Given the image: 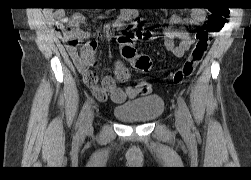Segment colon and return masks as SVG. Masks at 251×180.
<instances>
[{"label":"colon","instance_id":"colon-1","mask_svg":"<svg viewBox=\"0 0 251 180\" xmlns=\"http://www.w3.org/2000/svg\"><path fill=\"white\" fill-rule=\"evenodd\" d=\"M227 15L228 12L226 10H210L205 27L199 29L196 33V42L191 53L181 67L172 74V80L175 84L182 83L194 74L209 49L212 34L222 28L227 20ZM152 38L153 34L147 30L136 28L126 31L118 36L121 56L130 61L136 70L141 72L149 71L151 60L147 55L137 53L135 42L141 39L149 40Z\"/></svg>","mask_w":251,"mask_h":180}]
</instances>
